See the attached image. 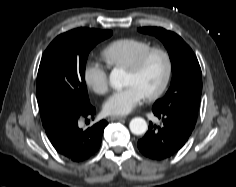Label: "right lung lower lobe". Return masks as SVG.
Listing matches in <instances>:
<instances>
[{
  "mask_svg": "<svg viewBox=\"0 0 236 187\" xmlns=\"http://www.w3.org/2000/svg\"><path fill=\"white\" fill-rule=\"evenodd\" d=\"M95 113L96 109L90 104L82 112L55 126L48 137L59 154L70 161L83 162L98 151L107 121L101 120L86 130L78 127L81 118H93Z\"/></svg>",
  "mask_w": 236,
  "mask_h": 187,
  "instance_id": "obj_1",
  "label": "right lung lower lobe"
}]
</instances>
